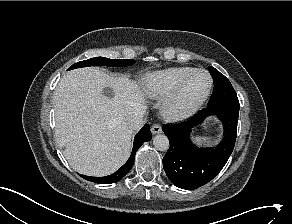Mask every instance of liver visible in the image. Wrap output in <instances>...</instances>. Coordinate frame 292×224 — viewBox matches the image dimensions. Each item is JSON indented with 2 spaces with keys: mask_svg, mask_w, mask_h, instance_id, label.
I'll return each instance as SVG.
<instances>
[{
  "mask_svg": "<svg viewBox=\"0 0 292 224\" xmlns=\"http://www.w3.org/2000/svg\"><path fill=\"white\" fill-rule=\"evenodd\" d=\"M106 88L112 97L103 93ZM144 97L126 76H109L95 67L66 73L53 100L57 142L71 167L88 176H106L121 167L135 131L128 116L138 104L144 105Z\"/></svg>",
  "mask_w": 292,
  "mask_h": 224,
  "instance_id": "obj_1",
  "label": "liver"
}]
</instances>
